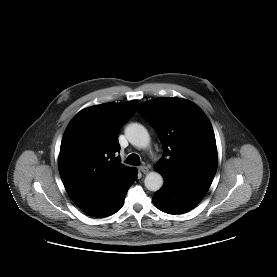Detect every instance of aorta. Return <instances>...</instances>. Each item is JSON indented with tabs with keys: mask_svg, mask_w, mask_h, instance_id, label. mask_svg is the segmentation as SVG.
<instances>
[{
	"mask_svg": "<svg viewBox=\"0 0 277 277\" xmlns=\"http://www.w3.org/2000/svg\"><path fill=\"white\" fill-rule=\"evenodd\" d=\"M125 135L130 144L138 148H146L150 144V136L147 129L138 123L129 124L125 128ZM145 187L150 191H158L163 185V177L158 172H150L144 180Z\"/></svg>",
	"mask_w": 277,
	"mask_h": 277,
	"instance_id": "aorta-1",
	"label": "aorta"
}]
</instances>
